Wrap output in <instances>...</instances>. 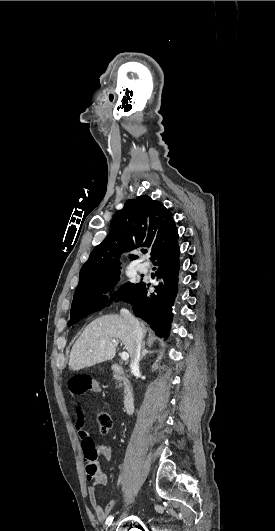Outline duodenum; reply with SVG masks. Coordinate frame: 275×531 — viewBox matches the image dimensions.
Masks as SVG:
<instances>
[{"mask_svg":"<svg viewBox=\"0 0 275 531\" xmlns=\"http://www.w3.org/2000/svg\"><path fill=\"white\" fill-rule=\"evenodd\" d=\"M112 371L116 374L123 376L125 374V368L119 364L112 366ZM135 396L131 386L127 385L124 392L123 409L125 413H131L134 409Z\"/></svg>","mask_w":275,"mask_h":531,"instance_id":"410a0bca","label":"duodenum"}]
</instances>
